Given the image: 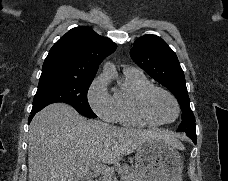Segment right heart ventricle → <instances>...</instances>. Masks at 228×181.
Segmentation results:
<instances>
[{
    "instance_id": "obj_1",
    "label": "right heart ventricle",
    "mask_w": 228,
    "mask_h": 181,
    "mask_svg": "<svg viewBox=\"0 0 228 181\" xmlns=\"http://www.w3.org/2000/svg\"><path fill=\"white\" fill-rule=\"evenodd\" d=\"M110 81L117 83L112 96L115 120L128 125H147L148 122L139 115L136 105L141 92L152 86L148 78L143 74L134 75L131 71L114 68V73L109 74Z\"/></svg>"
}]
</instances>
